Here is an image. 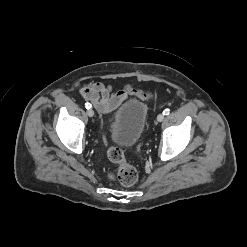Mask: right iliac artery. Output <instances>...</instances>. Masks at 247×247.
<instances>
[{
	"instance_id": "1",
	"label": "right iliac artery",
	"mask_w": 247,
	"mask_h": 247,
	"mask_svg": "<svg viewBox=\"0 0 247 247\" xmlns=\"http://www.w3.org/2000/svg\"><path fill=\"white\" fill-rule=\"evenodd\" d=\"M85 107L87 108V109H90L92 106H91V104L90 103H85Z\"/></svg>"
}]
</instances>
